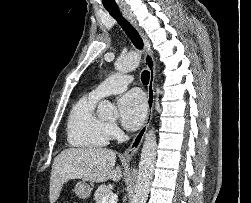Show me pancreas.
I'll return each mask as SVG.
<instances>
[{"label": "pancreas", "mask_w": 251, "mask_h": 203, "mask_svg": "<svg viewBox=\"0 0 251 203\" xmlns=\"http://www.w3.org/2000/svg\"><path fill=\"white\" fill-rule=\"evenodd\" d=\"M113 194L110 187L102 184L98 186L94 194V200L96 203H102V200L105 196Z\"/></svg>", "instance_id": "obj_1"}]
</instances>
